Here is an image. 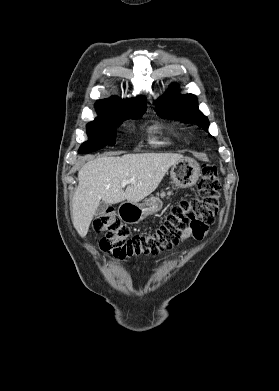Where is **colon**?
<instances>
[{"label": "colon", "mask_w": 279, "mask_h": 391, "mask_svg": "<svg viewBox=\"0 0 279 391\" xmlns=\"http://www.w3.org/2000/svg\"><path fill=\"white\" fill-rule=\"evenodd\" d=\"M219 198L220 180L217 168L206 163L202 167L198 195L173 206L156 231L132 234L113 208L98 215L93 222V228L98 233H105L100 246L117 259L156 255L176 246L186 228L191 229L195 239H202L218 214Z\"/></svg>", "instance_id": "colon-1"}]
</instances>
